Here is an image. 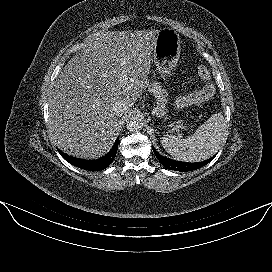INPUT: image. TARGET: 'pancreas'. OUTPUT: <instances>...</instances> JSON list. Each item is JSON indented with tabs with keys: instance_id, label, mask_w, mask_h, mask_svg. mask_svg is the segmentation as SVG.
Returning <instances> with one entry per match:
<instances>
[{
	"instance_id": "1",
	"label": "pancreas",
	"mask_w": 272,
	"mask_h": 272,
	"mask_svg": "<svg viewBox=\"0 0 272 272\" xmlns=\"http://www.w3.org/2000/svg\"><path fill=\"white\" fill-rule=\"evenodd\" d=\"M149 91L152 92L156 98V115L162 118L166 114L167 91L162 88L158 82H153L149 85Z\"/></svg>"
}]
</instances>
